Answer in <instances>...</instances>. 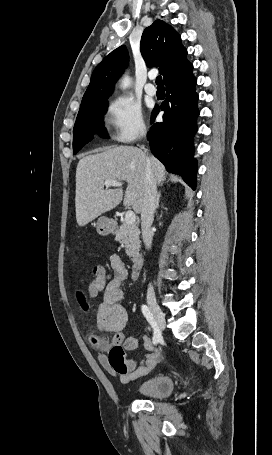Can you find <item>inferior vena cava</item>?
<instances>
[{
	"instance_id": "602c4592",
	"label": "inferior vena cava",
	"mask_w": 272,
	"mask_h": 455,
	"mask_svg": "<svg viewBox=\"0 0 272 455\" xmlns=\"http://www.w3.org/2000/svg\"><path fill=\"white\" fill-rule=\"evenodd\" d=\"M145 192L143 198V204L141 209V230H142V237L143 242L147 249L151 248L152 245V231L151 225L154 219V211L156 208V200H157V186H156V179L151 168V164L149 159H147V164L145 168ZM147 295L150 297H154V289L151 284H149Z\"/></svg>"
}]
</instances>
